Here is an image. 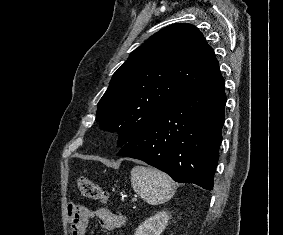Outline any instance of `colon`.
I'll list each match as a JSON object with an SVG mask.
<instances>
[{
	"label": "colon",
	"mask_w": 283,
	"mask_h": 235,
	"mask_svg": "<svg viewBox=\"0 0 283 235\" xmlns=\"http://www.w3.org/2000/svg\"><path fill=\"white\" fill-rule=\"evenodd\" d=\"M77 185L81 193L87 198L99 200L103 203L107 202L109 198L107 191L102 189L86 176H79L77 179Z\"/></svg>",
	"instance_id": "5ec220e1"
}]
</instances>
